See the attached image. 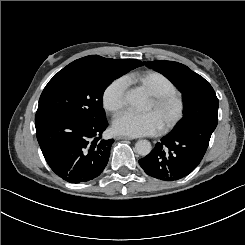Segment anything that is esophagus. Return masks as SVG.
Wrapping results in <instances>:
<instances>
[{"instance_id": "1", "label": "esophagus", "mask_w": 245, "mask_h": 245, "mask_svg": "<svg viewBox=\"0 0 245 245\" xmlns=\"http://www.w3.org/2000/svg\"><path fill=\"white\" fill-rule=\"evenodd\" d=\"M117 140H133L134 138L132 137H129V136H122V135H119L116 137Z\"/></svg>"}]
</instances>
